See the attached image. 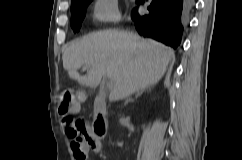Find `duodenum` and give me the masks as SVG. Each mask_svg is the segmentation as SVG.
I'll return each mask as SVG.
<instances>
[{
	"mask_svg": "<svg viewBox=\"0 0 242 160\" xmlns=\"http://www.w3.org/2000/svg\"><path fill=\"white\" fill-rule=\"evenodd\" d=\"M96 141L105 138L108 131L107 107L104 99L101 96H96L94 99L93 122L89 127Z\"/></svg>",
	"mask_w": 242,
	"mask_h": 160,
	"instance_id": "1",
	"label": "duodenum"
}]
</instances>
